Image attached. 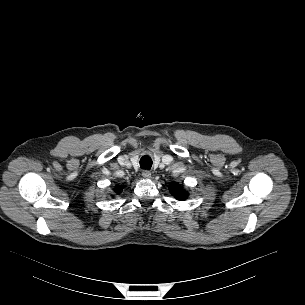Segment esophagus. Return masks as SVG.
Segmentation results:
<instances>
[{
  "label": "esophagus",
  "instance_id": "esophagus-1",
  "mask_svg": "<svg viewBox=\"0 0 305 305\" xmlns=\"http://www.w3.org/2000/svg\"><path fill=\"white\" fill-rule=\"evenodd\" d=\"M142 176L145 178V179H149L151 177V172L148 171V170H144L142 172Z\"/></svg>",
  "mask_w": 305,
  "mask_h": 305
}]
</instances>
